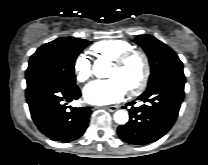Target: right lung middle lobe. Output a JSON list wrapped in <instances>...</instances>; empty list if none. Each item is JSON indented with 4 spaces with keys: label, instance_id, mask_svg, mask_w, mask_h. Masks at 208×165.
<instances>
[{
    "label": "right lung middle lobe",
    "instance_id": "dd1d6c3e",
    "mask_svg": "<svg viewBox=\"0 0 208 165\" xmlns=\"http://www.w3.org/2000/svg\"><path fill=\"white\" fill-rule=\"evenodd\" d=\"M90 43L79 38L61 37L42 45L30 58L26 70V89L47 81L76 85L75 60Z\"/></svg>",
    "mask_w": 208,
    "mask_h": 165
}]
</instances>
